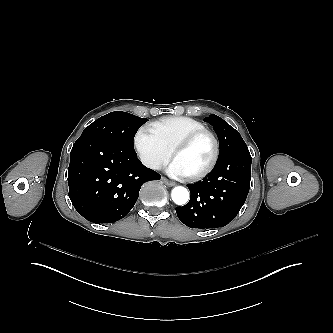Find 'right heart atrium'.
Here are the masks:
<instances>
[{
  "label": "right heart atrium",
  "mask_w": 333,
  "mask_h": 333,
  "mask_svg": "<svg viewBox=\"0 0 333 333\" xmlns=\"http://www.w3.org/2000/svg\"><path fill=\"white\" fill-rule=\"evenodd\" d=\"M135 149L142 162L152 170L161 169L171 153V150L163 142L147 133L146 127L141 128L137 133Z\"/></svg>",
  "instance_id": "d8ad5b80"
}]
</instances>
